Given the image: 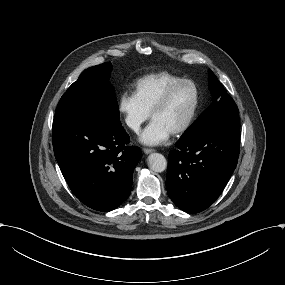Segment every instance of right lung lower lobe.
I'll use <instances>...</instances> for the list:
<instances>
[{"instance_id": "obj_1", "label": "right lung lower lobe", "mask_w": 285, "mask_h": 285, "mask_svg": "<svg viewBox=\"0 0 285 285\" xmlns=\"http://www.w3.org/2000/svg\"><path fill=\"white\" fill-rule=\"evenodd\" d=\"M56 160L75 196L97 211H110L131 192L132 174L141 159L120 121L88 117L55 118Z\"/></svg>"}]
</instances>
